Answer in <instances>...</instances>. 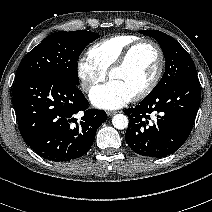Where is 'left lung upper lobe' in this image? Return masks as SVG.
<instances>
[{
	"label": "left lung upper lobe",
	"instance_id": "obj_1",
	"mask_svg": "<svg viewBox=\"0 0 212 212\" xmlns=\"http://www.w3.org/2000/svg\"><path fill=\"white\" fill-rule=\"evenodd\" d=\"M139 32L156 39L166 60L165 73L151 92L161 91L181 79L197 74L191 56L173 37L158 30Z\"/></svg>",
	"mask_w": 212,
	"mask_h": 212
}]
</instances>
